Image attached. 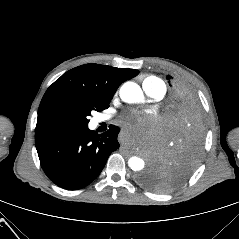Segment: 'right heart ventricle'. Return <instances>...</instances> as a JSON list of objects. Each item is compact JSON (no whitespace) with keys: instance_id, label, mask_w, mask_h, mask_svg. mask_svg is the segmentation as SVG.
Instances as JSON below:
<instances>
[{"instance_id":"obj_1","label":"right heart ventricle","mask_w":239,"mask_h":239,"mask_svg":"<svg viewBox=\"0 0 239 239\" xmlns=\"http://www.w3.org/2000/svg\"><path fill=\"white\" fill-rule=\"evenodd\" d=\"M157 81H160V79L155 76H147L143 79V85L155 83Z\"/></svg>"}]
</instances>
